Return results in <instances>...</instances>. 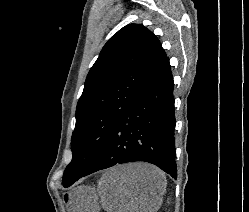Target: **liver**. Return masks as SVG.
Wrapping results in <instances>:
<instances>
[{
  "mask_svg": "<svg viewBox=\"0 0 249 212\" xmlns=\"http://www.w3.org/2000/svg\"><path fill=\"white\" fill-rule=\"evenodd\" d=\"M98 188L106 212H157L166 178L162 170L152 164H117L103 174Z\"/></svg>",
  "mask_w": 249,
  "mask_h": 212,
  "instance_id": "6515ba94",
  "label": "liver"
}]
</instances>
